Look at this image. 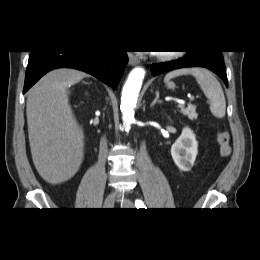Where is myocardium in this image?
I'll list each match as a JSON object with an SVG mask.
<instances>
[{
	"instance_id": "obj_1",
	"label": "myocardium",
	"mask_w": 260,
	"mask_h": 260,
	"mask_svg": "<svg viewBox=\"0 0 260 260\" xmlns=\"http://www.w3.org/2000/svg\"><path fill=\"white\" fill-rule=\"evenodd\" d=\"M173 57V55L171 53H161L159 54V58L161 60H169Z\"/></svg>"
}]
</instances>
